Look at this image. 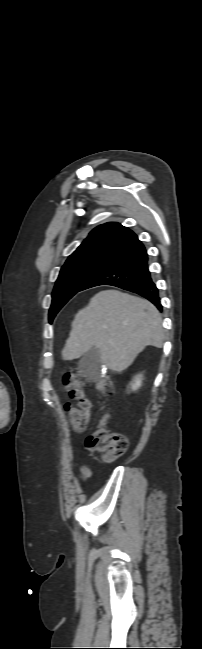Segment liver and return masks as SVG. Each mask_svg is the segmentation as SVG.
<instances>
[{
    "label": "liver",
    "instance_id": "liver-1",
    "mask_svg": "<svg viewBox=\"0 0 202 649\" xmlns=\"http://www.w3.org/2000/svg\"><path fill=\"white\" fill-rule=\"evenodd\" d=\"M163 340L161 315L152 303L118 290H105L75 315L62 358L78 359L96 348L107 368L121 372L146 346L161 348Z\"/></svg>",
    "mask_w": 202,
    "mask_h": 649
}]
</instances>
